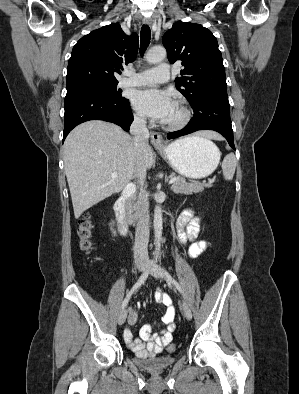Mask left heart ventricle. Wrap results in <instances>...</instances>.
<instances>
[{
    "mask_svg": "<svg viewBox=\"0 0 299 394\" xmlns=\"http://www.w3.org/2000/svg\"><path fill=\"white\" fill-rule=\"evenodd\" d=\"M180 116H181V110L176 104H174L170 115L167 117V119L165 121L166 122H173V121L178 120L180 118Z\"/></svg>",
    "mask_w": 299,
    "mask_h": 394,
    "instance_id": "b2bd125f",
    "label": "left heart ventricle"
}]
</instances>
